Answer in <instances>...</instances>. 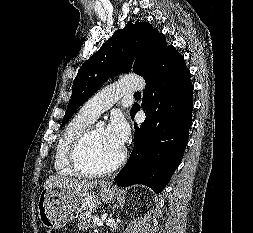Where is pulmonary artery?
<instances>
[{"instance_id":"pulmonary-artery-1","label":"pulmonary artery","mask_w":253,"mask_h":233,"mask_svg":"<svg viewBox=\"0 0 253 233\" xmlns=\"http://www.w3.org/2000/svg\"><path fill=\"white\" fill-rule=\"evenodd\" d=\"M144 86L139 77H126L104 88L90 98L80 109V113L96 119L109 109L120 97L128 93H136Z\"/></svg>"}]
</instances>
